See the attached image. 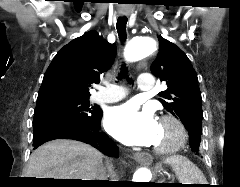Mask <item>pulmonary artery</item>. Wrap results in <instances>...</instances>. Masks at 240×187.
<instances>
[{"instance_id":"e3ab8cb5","label":"pulmonary artery","mask_w":240,"mask_h":187,"mask_svg":"<svg viewBox=\"0 0 240 187\" xmlns=\"http://www.w3.org/2000/svg\"><path fill=\"white\" fill-rule=\"evenodd\" d=\"M154 79L150 74H141L138 77V86L142 91H151L154 89ZM128 95L127 91L119 85H110L105 92L93 96V100L98 103L117 102Z\"/></svg>"}]
</instances>
